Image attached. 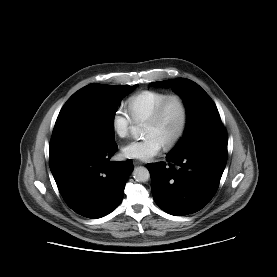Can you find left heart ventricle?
<instances>
[{
  "label": "left heart ventricle",
  "instance_id": "obj_1",
  "mask_svg": "<svg viewBox=\"0 0 277 277\" xmlns=\"http://www.w3.org/2000/svg\"><path fill=\"white\" fill-rule=\"evenodd\" d=\"M182 119V109L177 100H171L157 124L146 123L144 134L155 135L164 145L176 134Z\"/></svg>",
  "mask_w": 277,
  "mask_h": 277
}]
</instances>
